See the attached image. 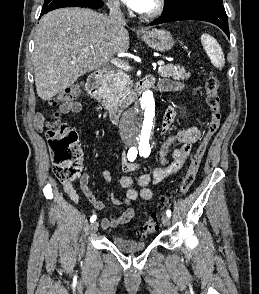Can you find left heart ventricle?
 Instances as JSON below:
<instances>
[{
  "mask_svg": "<svg viewBox=\"0 0 259 294\" xmlns=\"http://www.w3.org/2000/svg\"><path fill=\"white\" fill-rule=\"evenodd\" d=\"M155 7V0H148L144 8L140 11V13H147L151 11Z\"/></svg>",
  "mask_w": 259,
  "mask_h": 294,
  "instance_id": "1",
  "label": "left heart ventricle"
}]
</instances>
